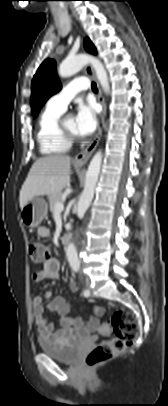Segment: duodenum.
Wrapping results in <instances>:
<instances>
[{"label":"duodenum","instance_id":"410a0bca","mask_svg":"<svg viewBox=\"0 0 168 406\" xmlns=\"http://www.w3.org/2000/svg\"><path fill=\"white\" fill-rule=\"evenodd\" d=\"M70 240H71V233H70V232L64 233V234L62 235V237H61V243H62L63 245L69 244Z\"/></svg>","mask_w":168,"mask_h":406}]
</instances>
